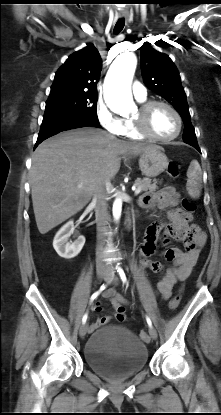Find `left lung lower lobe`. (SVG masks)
<instances>
[{
	"label": "left lung lower lobe",
	"mask_w": 221,
	"mask_h": 415,
	"mask_svg": "<svg viewBox=\"0 0 221 415\" xmlns=\"http://www.w3.org/2000/svg\"><path fill=\"white\" fill-rule=\"evenodd\" d=\"M184 142L187 143V144H189V145H191V146H193L198 151H200L199 146H198V143H197V139H187V140H184Z\"/></svg>",
	"instance_id": "obj_1"
}]
</instances>
